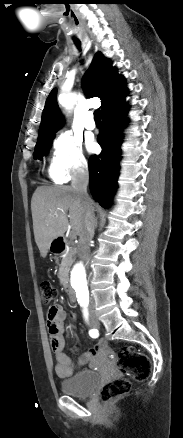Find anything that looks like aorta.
<instances>
[{"mask_svg":"<svg viewBox=\"0 0 183 438\" xmlns=\"http://www.w3.org/2000/svg\"><path fill=\"white\" fill-rule=\"evenodd\" d=\"M75 94L70 93L63 97L62 104L71 109L75 103ZM70 286L76 294V298L80 304H85L89 300V280L82 263L74 266L70 276Z\"/></svg>","mask_w":183,"mask_h":438,"instance_id":"aorta-1","label":"aorta"}]
</instances>
